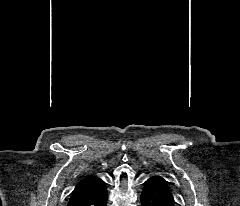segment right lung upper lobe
<instances>
[{"label":"right lung upper lobe","mask_w":240,"mask_h":206,"mask_svg":"<svg viewBox=\"0 0 240 206\" xmlns=\"http://www.w3.org/2000/svg\"><path fill=\"white\" fill-rule=\"evenodd\" d=\"M104 182L95 176H87L84 177L75 187L72 196L69 200L68 206L71 204L84 199L86 197L91 196L94 194L102 185Z\"/></svg>","instance_id":"obj_1"}]
</instances>
